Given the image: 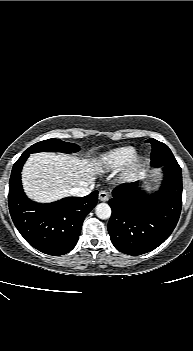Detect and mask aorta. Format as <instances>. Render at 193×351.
<instances>
[{
	"instance_id": "obj_1",
	"label": "aorta",
	"mask_w": 193,
	"mask_h": 351,
	"mask_svg": "<svg viewBox=\"0 0 193 351\" xmlns=\"http://www.w3.org/2000/svg\"><path fill=\"white\" fill-rule=\"evenodd\" d=\"M95 213L99 219H108L111 216V207L107 203H100L95 208Z\"/></svg>"
}]
</instances>
